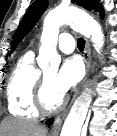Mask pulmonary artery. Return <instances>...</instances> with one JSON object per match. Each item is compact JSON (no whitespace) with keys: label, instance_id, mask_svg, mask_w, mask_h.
<instances>
[{"label":"pulmonary artery","instance_id":"1","mask_svg":"<svg viewBox=\"0 0 117 136\" xmlns=\"http://www.w3.org/2000/svg\"><path fill=\"white\" fill-rule=\"evenodd\" d=\"M58 48L65 54L72 53L75 49V41L71 34L63 32L58 39Z\"/></svg>","mask_w":117,"mask_h":136}]
</instances>
